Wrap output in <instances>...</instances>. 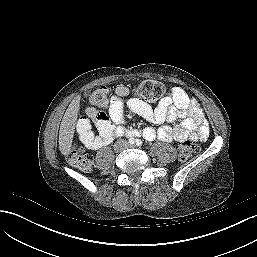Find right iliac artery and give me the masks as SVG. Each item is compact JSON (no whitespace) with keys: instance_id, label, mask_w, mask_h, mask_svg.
Here are the masks:
<instances>
[{"instance_id":"right-iliac-artery-1","label":"right iliac artery","mask_w":257,"mask_h":257,"mask_svg":"<svg viewBox=\"0 0 257 257\" xmlns=\"http://www.w3.org/2000/svg\"><path fill=\"white\" fill-rule=\"evenodd\" d=\"M129 143H130V145H133L135 143L134 138L129 139Z\"/></svg>"}]
</instances>
